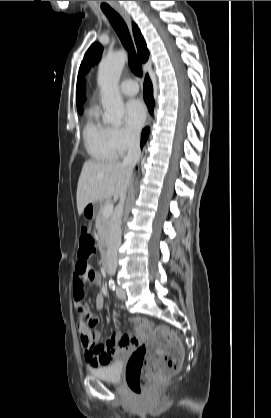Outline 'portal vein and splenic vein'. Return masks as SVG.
Instances as JSON below:
<instances>
[{
  "label": "portal vein and splenic vein",
  "mask_w": 271,
  "mask_h": 418,
  "mask_svg": "<svg viewBox=\"0 0 271 418\" xmlns=\"http://www.w3.org/2000/svg\"><path fill=\"white\" fill-rule=\"evenodd\" d=\"M113 212V204H106L103 209V215L105 217H110Z\"/></svg>",
  "instance_id": "18ae733b"
}]
</instances>
